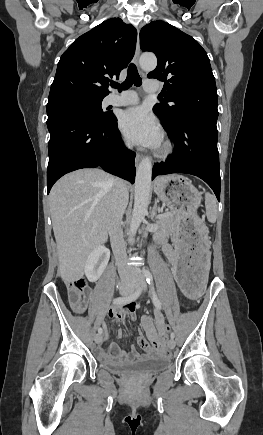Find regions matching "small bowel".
I'll list each match as a JSON object with an SVG mask.
<instances>
[{"label": "small bowel", "instance_id": "c3829d8e", "mask_svg": "<svg viewBox=\"0 0 263 435\" xmlns=\"http://www.w3.org/2000/svg\"><path fill=\"white\" fill-rule=\"evenodd\" d=\"M163 251L167 259L172 265V272L177 269L176 264L181 260V254L175 250L171 245L163 244ZM136 305L134 303L126 306L120 307L115 306L111 308L108 312V316L113 320L121 321L128 317L130 321H136L137 316L135 314ZM141 323L147 332L150 342L142 335L137 336V343L142 349L144 354L139 353V351L133 346L130 351H125L120 348L115 343H109L106 348H98L96 355L99 360L104 362H133L141 358L150 355H163L165 343L163 341L165 333V321L161 313L156 312L154 317L150 315H144L141 318ZM102 330H104L105 338H108V330L104 323H102ZM118 336L122 337L123 332L119 331Z\"/></svg>", "mask_w": 263, "mask_h": 435}]
</instances>
